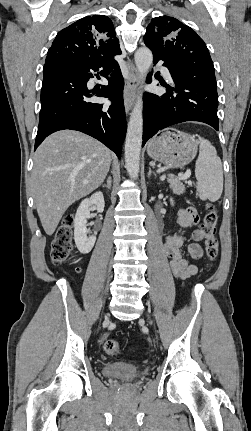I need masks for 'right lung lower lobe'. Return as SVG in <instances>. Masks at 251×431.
I'll return each instance as SVG.
<instances>
[{
	"label": "right lung lower lobe",
	"instance_id": "98d812e1",
	"mask_svg": "<svg viewBox=\"0 0 251 431\" xmlns=\"http://www.w3.org/2000/svg\"><path fill=\"white\" fill-rule=\"evenodd\" d=\"M110 74L109 85L98 92L89 91L87 81L93 77L91 71ZM114 69V70H113ZM123 78L119 65L110 68L81 62L67 54L44 65L41 89V110L35 149L51 133L72 129L88 134L121 156L126 134V118L123 104ZM109 98V108L94 103L90 98Z\"/></svg>",
	"mask_w": 251,
	"mask_h": 431
}]
</instances>
